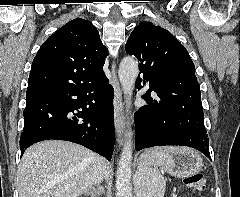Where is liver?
I'll use <instances>...</instances> for the list:
<instances>
[{
    "mask_svg": "<svg viewBox=\"0 0 240 197\" xmlns=\"http://www.w3.org/2000/svg\"><path fill=\"white\" fill-rule=\"evenodd\" d=\"M100 156L84 146L47 140L29 147L16 174L19 197H79L93 185ZM111 167L106 164V176Z\"/></svg>",
    "mask_w": 240,
    "mask_h": 197,
    "instance_id": "6515ba94",
    "label": "liver"
}]
</instances>
